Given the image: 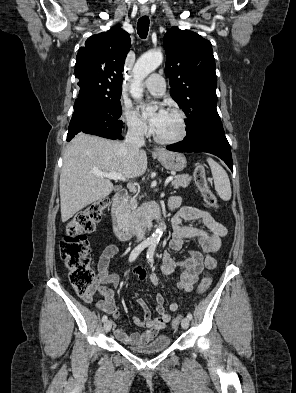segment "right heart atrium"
Returning a JSON list of instances; mask_svg holds the SVG:
<instances>
[{"instance_id": "d8ad5b80", "label": "right heart atrium", "mask_w": 296, "mask_h": 393, "mask_svg": "<svg viewBox=\"0 0 296 393\" xmlns=\"http://www.w3.org/2000/svg\"><path fill=\"white\" fill-rule=\"evenodd\" d=\"M122 118L130 133L138 137H144L149 133V127L144 119L129 106H122Z\"/></svg>"}]
</instances>
